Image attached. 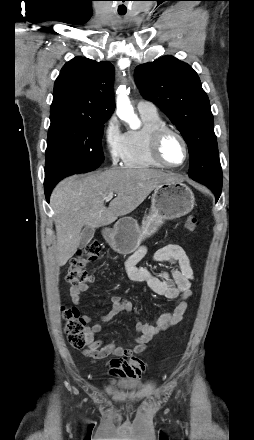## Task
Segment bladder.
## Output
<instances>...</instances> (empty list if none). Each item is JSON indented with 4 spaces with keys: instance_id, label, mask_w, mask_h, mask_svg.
<instances>
[{
    "instance_id": "bladder-1",
    "label": "bladder",
    "mask_w": 254,
    "mask_h": 440,
    "mask_svg": "<svg viewBox=\"0 0 254 440\" xmlns=\"http://www.w3.org/2000/svg\"><path fill=\"white\" fill-rule=\"evenodd\" d=\"M140 385H136L135 387H139Z\"/></svg>"
}]
</instances>
